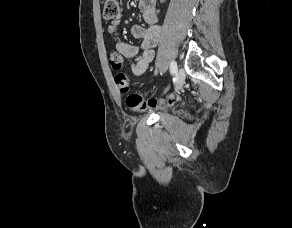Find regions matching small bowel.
I'll return each mask as SVG.
<instances>
[{"label":"small bowel","instance_id":"c3829d8e","mask_svg":"<svg viewBox=\"0 0 292 228\" xmlns=\"http://www.w3.org/2000/svg\"><path fill=\"white\" fill-rule=\"evenodd\" d=\"M139 8L142 13L143 25H134L131 28L133 37L141 39V45L134 46L124 41L116 44V53L121 58H134L131 71L135 76H140L146 72L155 54L160 28L157 23V15L154 8V0H140ZM119 25L118 21L109 26V31L114 33Z\"/></svg>","mask_w":292,"mask_h":228}]
</instances>
